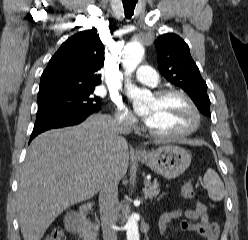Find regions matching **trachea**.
I'll return each mask as SVG.
<instances>
[{
  "mask_svg": "<svg viewBox=\"0 0 248 240\" xmlns=\"http://www.w3.org/2000/svg\"><path fill=\"white\" fill-rule=\"evenodd\" d=\"M137 0H133L131 2L128 1H123V7H124V11H125V16L127 18H131L133 13H134V9L136 6Z\"/></svg>",
  "mask_w": 248,
  "mask_h": 240,
  "instance_id": "3493384b",
  "label": "trachea"
}]
</instances>
